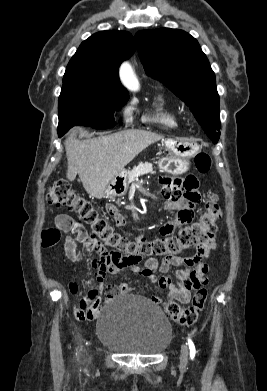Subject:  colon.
Wrapping results in <instances>:
<instances>
[{"label":"colon","mask_w":267,"mask_h":391,"mask_svg":"<svg viewBox=\"0 0 267 391\" xmlns=\"http://www.w3.org/2000/svg\"><path fill=\"white\" fill-rule=\"evenodd\" d=\"M195 166L200 173H207L212 166V158L206 152L198 153L195 157ZM47 203L56 208H66L79 217V221L89 225L88 248L98 255L112 252L123 256L126 264H138L143 258L147 263L162 257H178L182 252L199 248L207 242L217 231V221L221 218L222 210L218 197L212 195L206 202L204 211L199 218L185 225L175 235L163 236L153 240H131L116 232L108 220L85 198L64 181H56L50 186L47 193ZM60 238L59 231L48 229L42 236L43 246L55 245ZM207 289L201 287L195 292L191 304L182 307L170 301L165 305L168 316L180 325L195 323L202 312L207 300Z\"/></svg>","instance_id":"5ec220e1"}]
</instances>
